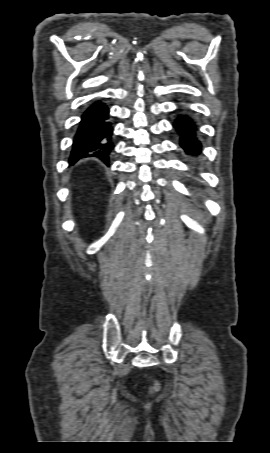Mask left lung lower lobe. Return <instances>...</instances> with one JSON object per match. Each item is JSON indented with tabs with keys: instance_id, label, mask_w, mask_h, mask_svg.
I'll use <instances>...</instances> for the list:
<instances>
[{
	"instance_id": "1",
	"label": "left lung lower lobe",
	"mask_w": 270,
	"mask_h": 453,
	"mask_svg": "<svg viewBox=\"0 0 270 453\" xmlns=\"http://www.w3.org/2000/svg\"><path fill=\"white\" fill-rule=\"evenodd\" d=\"M174 128L180 135V146L188 154H199L201 151V143L197 137V124L187 114L182 113L173 123Z\"/></svg>"
}]
</instances>
